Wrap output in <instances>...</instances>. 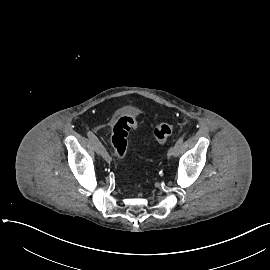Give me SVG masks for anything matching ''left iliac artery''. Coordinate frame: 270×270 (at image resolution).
<instances>
[{"mask_svg": "<svg viewBox=\"0 0 270 270\" xmlns=\"http://www.w3.org/2000/svg\"><path fill=\"white\" fill-rule=\"evenodd\" d=\"M183 141H184V135L181 136V137L177 140V142H176V144H175V154H174V156H177V155L180 153V151H181V149H182Z\"/></svg>", "mask_w": 270, "mask_h": 270, "instance_id": "obj_1", "label": "left iliac artery"}]
</instances>
